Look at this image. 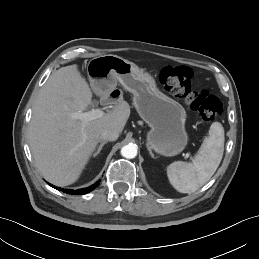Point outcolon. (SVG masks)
Listing matches in <instances>:
<instances>
[{
	"label": "colon",
	"mask_w": 259,
	"mask_h": 259,
	"mask_svg": "<svg viewBox=\"0 0 259 259\" xmlns=\"http://www.w3.org/2000/svg\"><path fill=\"white\" fill-rule=\"evenodd\" d=\"M193 72L187 66H165L159 72V82L169 94L185 100L189 107L207 123L222 112V103L206 91L192 87Z\"/></svg>",
	"instance_id": "colon-1"
}]
</instances>
